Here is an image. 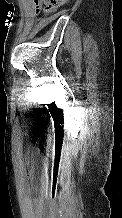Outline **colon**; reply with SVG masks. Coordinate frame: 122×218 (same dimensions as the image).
<instances>
[{"label": "colon", "instance_id": "obj_1", "mask_svg": "<svg viewBox=\"0 0 122 218\" xmlns=\"http://www.w3.org/2000/svg\"><path fill=\"white\" fill-rule=\"evenodd\" d=\"M47 12L54 11L63 0H41Z\"/></svg>", "mask_w": 122, "mask_h": 218}]
</instances>
